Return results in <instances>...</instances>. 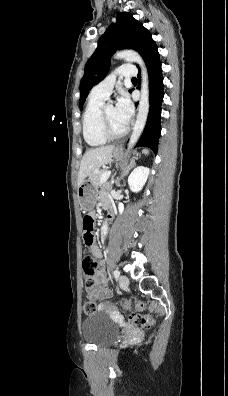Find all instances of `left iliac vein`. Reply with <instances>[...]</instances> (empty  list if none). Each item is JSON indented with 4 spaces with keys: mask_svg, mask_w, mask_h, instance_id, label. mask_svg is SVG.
<instances>
[{
    "mask_svg": "<svg viewBox=\"0 0 228 396\" xmlns=\"http://www.w3.org/2000/svg\"><path fill=\"white\" fill-rule=\"evenodd\" d=\"M119 284H120V286H121L122 288L127 287V286L129 285V279H128V277L125 276V275L120 276V278H119Z\"/></svg>",
    "mask_w": 228,
    "mask_h": 396,
    "instance_id": "1",
    "label": "left iliac vein"
}]
</instances>
